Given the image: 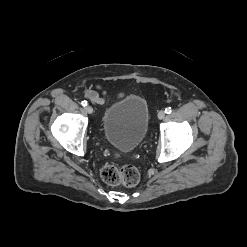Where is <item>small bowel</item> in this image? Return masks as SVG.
Masks as SVG:
<instances>
[{"instance_id":"small-bowel-1","label":"small bowel","mask_w":247,"mask_h":247,"mask_svg":"<svg viewBox=\"0 0 247 247\" xmlns=\"http://www.w3.org/2000/svg\"><path fill=\"white\" fill-rule=\"evenodd\" d=\"M86 98H88L93 103L98 105H103L106 102V91H104L100 86H97L94 89H88L85 92ZM122 95L120 94L118 98Z\"/></svg>"}]
</instances>
